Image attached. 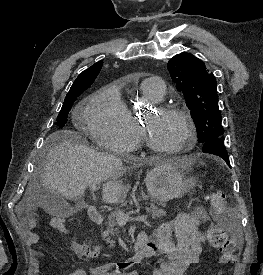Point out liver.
<instances>
[{"label": "liver", "mask_w": 263, "mask_h": 275, "mask_svg": "<svg viewBox=\"0 0 263 275\" xmlns=\"http://www.w3.org/2000/svg\"><path fill=\"white\" fill-rule=\"evenodd\" d=\"M49 143L42 173V183L47 191H56L68 199L83 196L87 187L103 183L102 200L118 203L126 197V190L118 180L124 170L122 160L112 154L100 153L87 147L79 134L71 130L54 133ZM182 158L177 164L191 163ZM28 186L21 207H34L39 196L34 195Z\"/></svg>", "instance_id": "obj_1"}]
</instances>
